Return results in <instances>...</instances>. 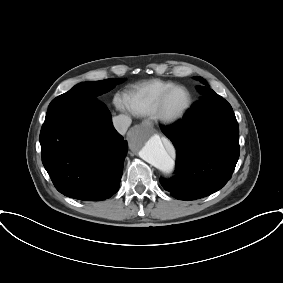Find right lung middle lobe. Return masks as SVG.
Masks as SVG:
<instances>
[{"instance_id": "obj_1", "label": "right lung middle lobe", "mask_w": 283, "mask_h": 283, "mask_svg": "<svg viewBox=\"0 0 283 283\" xmlns=\"http://www.w3.org/2000/svg\"><path fill=\"white\" fill-rule=\"evenodd\" d=\"M123 81L124 79H106L102 81L77 84L68 92L53 99L47 112L58 107L81 105L96 100L97 96L110 91L117 84Z\"/></svg>"}]
</instances>
